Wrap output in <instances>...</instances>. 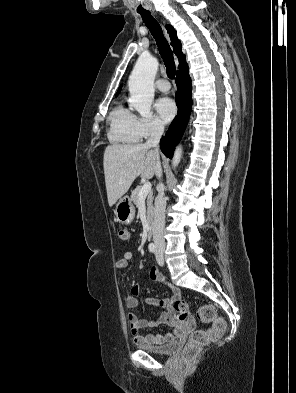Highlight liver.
I'll use <instances>...</instances> for the list:
<instances>
[{
  "mask_svg": "<svg viewBox=\"0 0 296 393\" xmlns=\"http://www.w3.org/2000/svg\"><path fill=\"white\" fill-rule=\"evenodd\" d=\"M159 154L145 144H113L106 147L103 158L108 204L112 207L141 176H154Z\"/></svg>",
  "mask_w": 296,
  "mask_h": 393,
  "instance_id": "obj_1",
  "label": "liver"
}]
</instances>
